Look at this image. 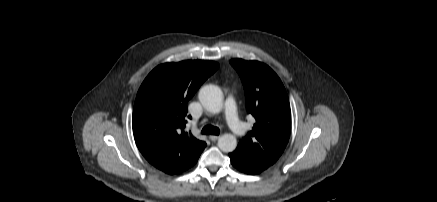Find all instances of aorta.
I'll use <instances>...</instances> for the list:
<instances>
[{"mask_svg": "<svg viewBox=\"0 0 437 202\" xmlns=\"http://www.w3.org/2000/svg\"><path fill=\"white\" fill-rule=\"evenodd\" d=\"M198 98L202 106L211 113L217 114L223 108V94L217 86H203L199 90ZM218 147L223 152H233L237 147L236 137L228 133L223 134L218 139Z\"/></svg>", "mask_w": 437, "mask_h": 202, "instance_id": "762f6f07", "label": "aorta"}]
</instances>
